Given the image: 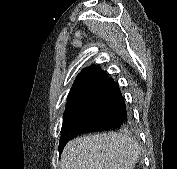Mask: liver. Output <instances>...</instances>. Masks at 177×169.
I'll use <instances>...</instances> for the list:
<instances>
[{
	"label": "liver",
	"instance_id": "liver-1",
	"mask_svg": "<svg viewBox=\"0 0 177 169\" xmlns=\"http://www.w3.org/2000/svg\"><path fill=\"white\" fill-rule=\"evenodd\" d=\"M138 143L127 134L100 133L71 140L60 159L61 169H134Z\"/></svg>",
	"mask_w": 177,
	"mask_h": 169
}]
</instances>
